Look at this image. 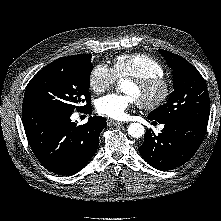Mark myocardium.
<instances>
[{"instance_id":"obj_1","label":"myocardium","mask_w":221,"mask_h":221,"mask_svg":"<svg viewBox=\"0 0 221 221\" xmlns=\"http://www.w3.org/2000/svg\"><path fill=\"white\" fill-rule=\"evenodd\" d=\"M133 82L140 91V96L136 98L137 104L144 110H155L161 107L172 93L171 83L164 76L148 78H134ZM153 90H159L155 97H147Z\"/></svg>"}]
</instances>
